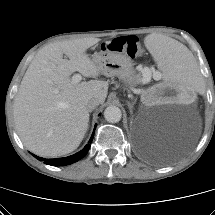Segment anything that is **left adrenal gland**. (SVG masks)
Segmentation results:
<instances>
[{
  "label": "left adrenal gland",
  "instance_id": "1",
  "mask_svg": "<svg viewBox=\"0 0 215 215\" xmlns=\"http://www.w3.org/2000/svg\"><path fill=\"white\" fill-rule=\"evenodd\" d=\"M127 104H128L130 112L132 113V109H133L135 102H133V103L127 102Z\"/></svg>",
  "mask_w": 215,
  "mask_h": 215
}]
</instances>
